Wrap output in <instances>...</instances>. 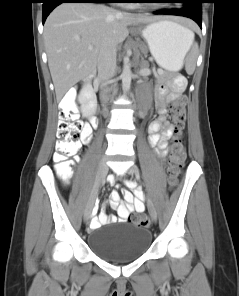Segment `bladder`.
I'll use <instances>...</instances> for the list:
<instances>
[{
    "instance_id": "31cf9c89",
    "label": "bladder",
    "mask_w": 239,
    "mask_h": 296,
    "mask_svg": "<svg viewBox=\"0 0 239 296\" xmlns=\"http://www.w3.org/2000/svg\"><path fill=\"white\" fill-rule=\"evenodd\" d=\"M152 243L151 232L126 222L100 227L89 237L91 250L113 262L131 261L146 253Z\"/></svg>"
}]
</instances>
